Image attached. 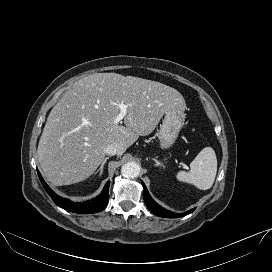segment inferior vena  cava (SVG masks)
Returning a JSON list of instances; mask_svg holds the SVG:
<instances>
[{"label":"inferior vena cava","instance_id":"inferior-vena-cava-1","mask_svg":"<svg viewBox=\"0 0 272 272\" xmlns=\"http://www.w3.org/2000/svg\"><path fill=\"white\" fill-rule=\"evenodd\" d=\"M105 153L111 156L116 155L118 154V148L116 145L110 144L106 147Z\"/></svg>","mask_w":272,"mask_h":272}]
</instances>
